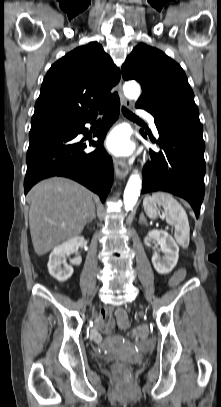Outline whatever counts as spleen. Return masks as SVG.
I'll use <instances>...</instances> for the list:
<instances>
[{
	"mask_svg": "<svg viewBox=\"0 0 221 407\" xmlns=\"http://www.w3.org/2000/svg\"><path fill=\"white\" fill-rule=\"evenodd\" d=\"M157 205L164 208L163 215L167 223L174 226V237L177 243L183 248H187L190 241V227L184 208L171 194L155 192L147 195L143 200V207L149 218L157 217Z\"/></svg>",
	"mask_w": 221,
	"mask_h": 407,
	"instance_id": "3e777b00",
	"label": "spleen"
}]
</instances>
